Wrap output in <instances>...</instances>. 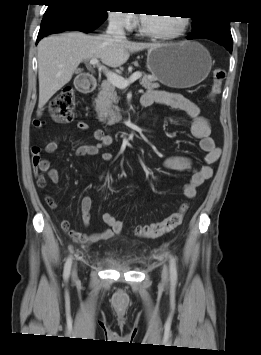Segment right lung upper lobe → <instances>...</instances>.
I'll list each match as a JSON object with an SVG mask.
<instances>
[{"instance_id":"cb5924a9","label":"right lung upper lobe","mask_w":261,"mask_h":355,"mask_svg":"<svg viewBox=\"0 0 261 355\" xmlns=\"http://www.w3.org/2000/svg\"><path fill=\"white\" fill-rule=\"evenodd\" d=\"M50 4H60V3H68V2H78L82 0H47Z\"/></svg>"}]
</instances>
